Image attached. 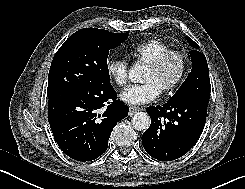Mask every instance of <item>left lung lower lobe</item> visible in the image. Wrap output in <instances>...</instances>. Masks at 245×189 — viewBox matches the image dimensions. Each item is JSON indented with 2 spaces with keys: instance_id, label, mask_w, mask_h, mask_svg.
<instances>
[{
  "instance_id": "obj_1",
  "label": "left lung lower lobe",
  "mask_w": 245,
  "mask_h": 189,
  "mask_svg": "<svg viewBox=\"0 0 245 189\" xmlns=\"http://www.w3.org/2000/svg\"><path fill=\"white\" fill-rule=\"evenodd\" d=\"M207 106L206 101L185 98L148 107L151 125L142 135L146 152L160 161L175 160L186 154L204 129Z\"/></svg>"
}]
</instances>
